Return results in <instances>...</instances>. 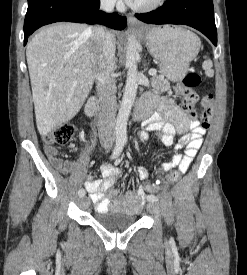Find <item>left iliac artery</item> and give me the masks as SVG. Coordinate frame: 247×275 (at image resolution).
<instances>
[{
	"label": "left iliac artery",
	"instance_id": "obj_1",
	"mask_svg": "<svg viewBox=\"0 0 247 275\" xmlns=\"http://www.w3.org/2000/svg\"><path fill=\"white\" fill-rule=\"evenodd\" d=\"M147 201H149V202L158 201V197L156 195H153V194L148 195L147 196Z\"/></svg>",
	"mask_w": 247,
	"mask_h": 275
}]
</instances>
